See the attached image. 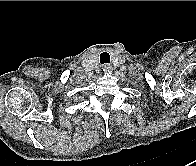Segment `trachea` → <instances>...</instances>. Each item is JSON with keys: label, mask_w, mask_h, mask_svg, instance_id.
Wrapping results in <instances>:
<instances>
[{"label": "trachea", "mask_w": 196, "mask_h": 166, "mask_svg": "<svg viewBox=\"0 0 196 166\" xmlns=\"http://www.w3.org/2000/svg\"><path fill=\"white\" fill-rule=\"evenodd\" d=\"M110 62V55L107 52H103L100 54V63L101 64H107Z\"/></svg>", "instance_id": "obj_1"}]
</instances>
